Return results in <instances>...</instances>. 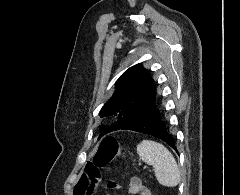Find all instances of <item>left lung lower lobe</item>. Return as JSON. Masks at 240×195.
<instances>
[{"label": "left lung lower lobe", "mask_w": 240, "mask_h": 195, "mask_svg": "<svg viewBox=\"0 0 240 195\" xmlns=\"http://www.w3.org/2000/svg\"><path fill=\"white\" fill-rule=\"evenodd\" d=\"M156 98L147 104L139 114L122 129L133 130L141 133L153 135L167 144H169L175 151V142L173 137L167 132L164 121L156 106Z\"/></svg>", "instance_id": "obj_1"}]
</instances>
